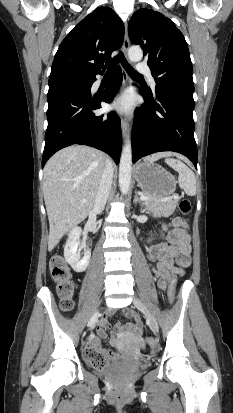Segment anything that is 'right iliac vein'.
Returning a JSON list of instances; mask_svg holds the SVG:
<instances>
[{"instance_id": "63e3f726", "label": "right iliac vein", "mask_w": 233, "mask_h": 413, "mask_svg": "<svg viewBox=\"0 0 233 413\" xmlns=\"http://www.w3.org/2000/svg\"><path fill=\"white\" fill-rule=\"evenodd\" d=\"M96 317H97V313L94 314L93 318H96Z\"/></svg>"}]
</instances>
